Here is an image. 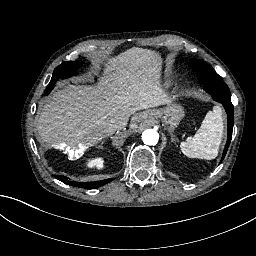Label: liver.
Masks as SVG:
<instances>
[{
    "label": "liver",
    "mask_w": 256,
    "mask_h": 256,
    "mask_svg": "<svg viewBox=\"0 0 256 256\" xmlns=\"http://www.w3.org/2000/svg\"><path fill=\"white\" fill-rule=\"evenodd\" d=\"M161 65L158 53L138 47L108 59L97 86L71 84L53 94L37 120L39 135L52 145L98 144L137 111L170 102L161 85ZM142 116H133L130 128Z\"/></svg>",
    "instance_id": "1"
}]
</instances>
